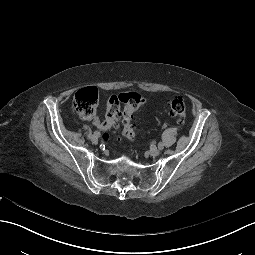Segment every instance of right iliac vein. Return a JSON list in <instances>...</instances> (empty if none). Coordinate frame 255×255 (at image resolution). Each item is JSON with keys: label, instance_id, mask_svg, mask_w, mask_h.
I'll return each instance as SVG.
<instances>
[{"label": "right iliac vein", "instance_id": "right-iliac-vein-1", "mask_svg": "<svg viewBox=\"0 0 255 255\" xmlns=\"http://www.w3.org/2000/svg\"><path fill=\"white\" fill-rule=\"evenodd\" d=\"M91 141H92L93 144H97V143H98V137L95 136V135H93V136L91 137Z\"/></svg>", "mask_w": 255, "mask_h": 255}]
</instances>
